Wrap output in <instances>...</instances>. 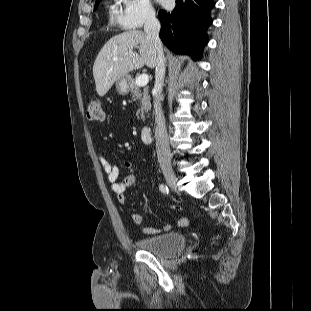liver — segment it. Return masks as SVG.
I'll use <instances>...</instances> for the list:
<instances>
[{
	"label": "liver",
	"mask_w": 311,
	"mask_h": 311,
	"mask_svg": "<svg viewBox=\"0 0 311 311\" xmlns=\"http://www.w3.org/2000/svg\"><path fill=\"white\" fill-rule=\"evenodd\" d=\"M138 48V53L134 51ZM119 60L115 61L114 58ZM156 51L152 41L139 30H130L112 37L100 50L93 65L96 91L103 97L115 81L144 65L156 66Z\"/></svg>",
	"instance_id": "liver-1"
}]
</instances>
